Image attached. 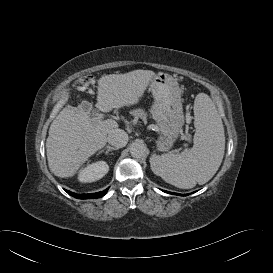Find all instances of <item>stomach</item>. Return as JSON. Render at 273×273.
<instances>
[{
    "mask_svg": "<svg viewBox=\"0 0 273 273\" xmlns=\"http://www.w3.org/2000/svg\"><path fill=\"white\" fill-rule=\"evenodd\" d=\"M149 90L155 100L151 107L152 118L160 131L157 149L167 151L172 148L184 125L181 89L175 78L160 72L150 81Z\"/></svg>",
    "mask_w": 273,
    "mask_h": 273,
    "instance_id": "1",
    "label": "stomach"
}]
</instances>
